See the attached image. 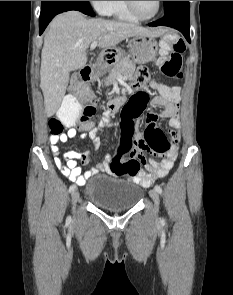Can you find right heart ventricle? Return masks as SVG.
<instances>
[{"mask_svg": "<svg viewBox=\"0 0 233 295\" xmlns=\"http://www.w3.org/2000/svg\"><path fill=\"white\" fill-rule=\"evenodd\" d=\"M116 19L124 20V21H137L127 9L125 1H112L109 14Z\"/></svg>", "mask_w": 233, "mask_h": 295, "instance_id": "obj_1", "label": "right heart ventricle"}]
</instances>
